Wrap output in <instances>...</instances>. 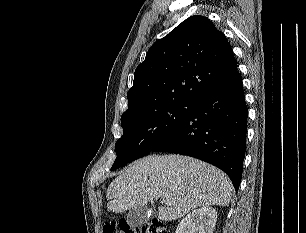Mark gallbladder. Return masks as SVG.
<instances>
[{
	"label": "gallbladder",
	"instance_id": "gallbladder-1",
	"mask_svg": "<svg viewBox=\"0 0 306 233\" xmlns=\"http://www.w3.org/2000/svg\"><path fill=\"white\" fill-rule=\"evenodd\" d=\"M149 209L147 206H139L129 210L126 220L132 228H137L149 220Z\"/></svg>",
	"mask_w": 306,
	"mask_h": 233
}]
</instances>
